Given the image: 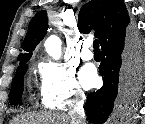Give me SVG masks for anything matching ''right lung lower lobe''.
<instances>
[{
	"label": "right lung lower lobe",
	"instance_id": "98d812e1",
	"mask_svg": "<svg viewBox=\"0 0 145 124\" xmlns=\"http://www.w3.org/2000/svg\"><path fill=\"white\" fill-rule=\"evenodd\" d=\"M102 62L99 72L103 86L87 96V118L93 124H103L116 103L132 109L135 105L145 72V53L138 33L125 28L101 45Z\"/></svg>",
	"mask_w": 145,
	"mask_h": 124
}]
</instances>
